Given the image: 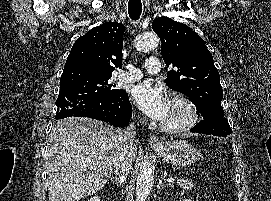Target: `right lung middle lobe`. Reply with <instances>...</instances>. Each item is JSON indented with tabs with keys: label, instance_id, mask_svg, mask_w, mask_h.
<instances>
[{
	"label": "right lung middle lobe",
	"instance_id": "dd1d6c3e",
	"mask_svg": "<svg viewBox=\"0 0 271 201\" xmlns=\"http://www.w3.org/2000/svg\"><path fill=\"white\" fill-rule=\"evenodd\" d=\"M110 78L111 74L90 72L82 69L63 71L59 93L67 91L79 93L98 92L102 95L119 93L121 90L114 88L116 85L109 82Z\"/></svg>",
	"mask_w": 271,
	"mask_h": 201
}]
</instances>
